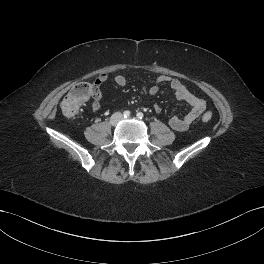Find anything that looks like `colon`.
Segmentation results:
<instances>
[{"label": "colon", "mask_w": 264, "mask_h": 264, "mask_svg": "<svg viewBox=\"0 0 264 264\" xmlns=\"http://www.w3.org/2000/svg\"><path fill=\"white\" fill-rule=\"evenodd\" d=\"M93 92L94 86L91 83H80L75 86L61 102V110L63 114L68 117L75 116L83 103L92 97ZM211 119L212 114L210 112H206L202 116V120L205 122H208Z\"/></svg>", "instance_id": "1"}]
</instances>
